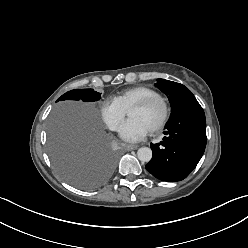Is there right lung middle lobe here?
Segmentation results:
<instances>
[{
	"label": "right lung middle lobe",
	"mask_w": 248,
	"mask_h": 248,
	"mask_svg": "<svg viewBox=\"0 0 248 248\" xmlns=\"http://www.w3.org/2000/svg\"><path fill=\"white\" fill-rule=\"evenodd\" d=\"M100 95L93 89H75L66 92L57 101L92 102L99 100ZM49 153L61 177L80 189L101 186L115 167V159L107 149V140L91 117L85 134L77 138L65 130L52 128L49 134Z\"/></svg>",
	"instance_id": "obj_1"
}]
</instances>
